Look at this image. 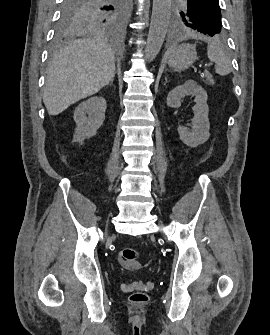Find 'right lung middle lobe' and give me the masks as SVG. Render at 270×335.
Wrapping results in <instances>:
<instances>
[{
	"instance_id": "right-lung-middle-lobe-1",
	"label": "right lung middle lobe",
	"mask_w": 270,
	"mask_h": 335,
	"mask_svg": "<svg viewBox=\"0 0 270 335\" xmlns=\"http://www.w3.org/2000/svg\"><path fill=\"white\" fill-rule=\"evenodd\" d=\"M56 28V43L76 32L120 28L126 17V0H63Z\"/></svg>"
}]
</instances>
